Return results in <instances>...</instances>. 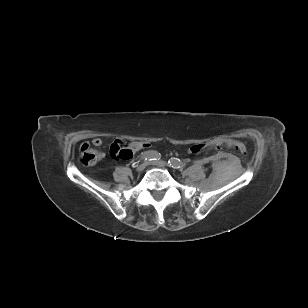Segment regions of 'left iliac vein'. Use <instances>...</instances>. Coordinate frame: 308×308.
Instances as JSON below:
<instances>
[{"label": "left iliac vein", "instance_id": "4c4485c4", "mask_svg": "<svg viewBox=\"0 0 308 308\" xmlns=\"http://www.w3.org/2000/svg\"><path fill=\"white\" fill-rule=\"evenodd\" d=\"M153 165H155L159 168H164V167L168 166V163L166 161L160 160V161L153 162Z\"/></svg>", "mask_w": 308, "mask_h": 308}]
</instances>
